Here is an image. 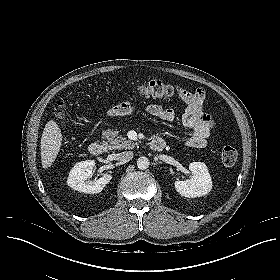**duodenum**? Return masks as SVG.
<instances>
[{"label": "duodenum", "instance_id": "1", "mask_svg": "<svg viewBox=\"0 0 280 280\" xmlns=\"http://www.w3.org/2000/svg\"><path fill=\"white\" fill-rule=\"evenodd\" d=\"M150 147L154 151H161L165 147V142L162 138H154L150 144ZM106 151V145L102 141H95L90 143L89 152L94 156H100Z\"/></svg>", "mask_w": 280, "mask_h": 280}]
</instances>
